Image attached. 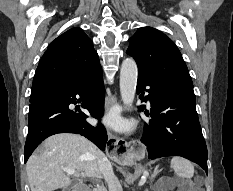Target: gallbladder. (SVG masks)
Wrapping results in <instances>:
<instances>
[{
  "mask_svg": "<svg viewBox=\"0 0 233 191\" xmlns=\"http://www.w3.org/2000/svg\"><path fill=\"white\" fill-rule=\"evenodd\" d=\"M75 185V182L73 181L68 187H65L63 191H70V189Z\"/></svg>",
  "mask_w": 233,
  "mask_h": 191,
  "instance_id": "gallbladder-1",
  "label": "gallbladder"
}]
</instances>
